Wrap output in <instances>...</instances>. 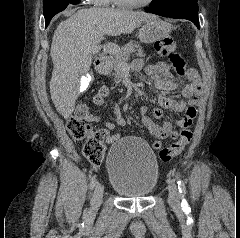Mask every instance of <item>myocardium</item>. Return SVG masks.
Returning <instances> with one entry per match:
<instances>
[{"label":"myocardium","mask_w":240,"mask_h":238,"mask_svg":"<svg viewBox=\"0 0 240 238\" xmlns=\"http://www.w3.org/2000/svg\"><path fill=\"white\" fill-rule=\"evenodd\" d=\"M113 2L123 8H141V7H145L148 6L149 4H151L153 2V0H146L144 2H140V3H135V2H128L125 0H113Z\"/></svg>","instance_id":"myocardium-1"}]
</instances>
